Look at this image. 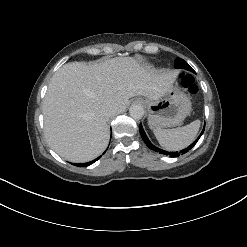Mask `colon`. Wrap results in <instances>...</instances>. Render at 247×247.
<instances>
[{"label":"colon","instance_id":"1","mask_svg":"<svg viewBox=\"0 0 247 247\" xmlns=\"http://www.w3.org/2000/svg\"><path fill=\"white\" fill-rule=\"evenodd\" d=\"M181 83L183 87L190 93L196 94L198 92V86L191 75L182 74L181 75Z\"/></svg>","mask_w":247,"mask_h":247}]
</instances>
